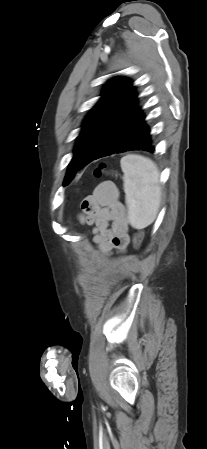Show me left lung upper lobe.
I'll return each mask as SVG.
<instances>
[{
	"mask_svg": "<svg viewBox=\"0 0 207 449\" xmlns=\"http://www.w3.org/2000/svg\"><path fill=\"white\" fill-rule=\"evenodd\" d=\"M132 82L121 77L107 82L101 100L87 115L75 145L74 156L64 179L66 186L77 171L93 161L110 132L137 108V95Z\"/></svg>",
	"mask_w": 207,
	"mask_h": 449,
	"instance_id": "1",
	"label": "left lung upper lobe"
}]
</instances>
